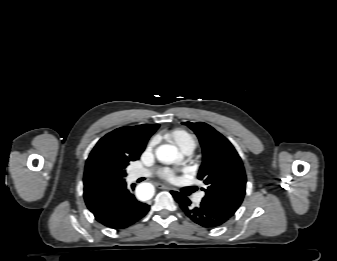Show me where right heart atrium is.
I'll return each mask as SVG.
<instances>
[{"label": "right heart atrium", "instance_id": "d8ad5b80", "mask_svg": "<svg viewBox=\"0 0 337 261\" xmlns=\"http://www.w3.org/2000/svg\"><path fill=\"white\" fill-rule=\"evenodd\" d=\"M153 144H154V141H151L149 146L151 147L153 146Z\"/></svg>", "mask_w": 337, "mask_h": 261}]
</instances>
